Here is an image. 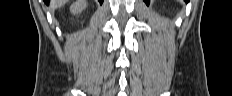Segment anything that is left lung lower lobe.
<instances>
[{
    "label": "left lung lower lobe",
    "mask_w": 232,
    "mask_h": 96,
    "mask_svg": "<svg viewBox=\"0 0 232 96\" xmlns=\"http://www.w3.org/2000/svg\"><path fill=\"white\" fill-rule=\"evenodd\" d=\"M145 1V3L148 5L149 4V2H150V0H144ZM189 0H185V2H188Z\"/></svg>",
    "instance_id": "1"
}]
</instances>
